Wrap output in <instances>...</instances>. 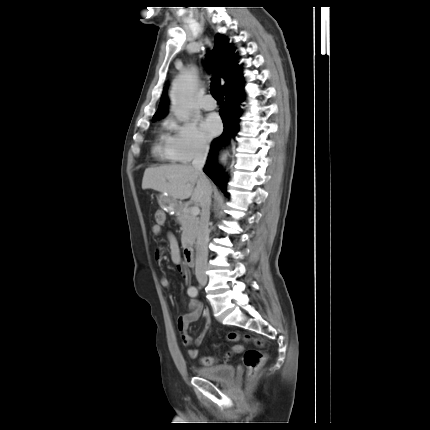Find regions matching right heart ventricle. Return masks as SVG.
Listing matches in <instances>:
<instances>
[{"mask_svg":"<svg viewBox=\"0 0 430 430\" xmlns=\"http://www.w3.org/2000/svg\"><path fill=\"white\" fill-rule=\"evenodd\" d=\"M165 136L166 135H164L163 133H159V135L157 136V143L154 147V152L163 158H167L164 145Z\"/></svg>","mask_w":430,"mask_h":430,"instance_id":"e07e8e85","label":"right heart ventricle"}]
</instances>
